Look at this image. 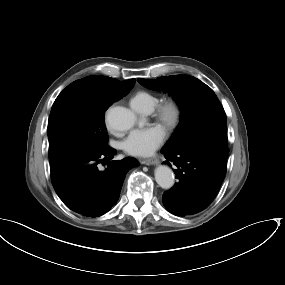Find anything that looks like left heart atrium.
<instances>
[{
  "label": "left heart atrium",
  "instance_id": "39dd6f15",
  "mask_svg": "<svg viewBox=\"0 0 285 285\" xmlns=\"http://www.w3.org/2000/svg\"><path fill=\"white\" fill-rule=\"evenodd\" d=\"M165 135V131L160 125L137 128L125 138L122 147L131 156H150L163 143Z\"/></svg>",
  "mask_w": 285,
  "mask_h": 285
}]
</instances>
